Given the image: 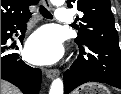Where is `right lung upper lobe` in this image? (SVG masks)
Listing matches in <instances>:
<instances>
[{"instance_id": "obj_1", "label": "right lung upper lobe", "mask_w": 121, "mask_h": 94, "mask_svg": "<svg viewBox=\"0 0 121 94\" xmlns=\"http://www.w3.org/2000/svg\"><path fill=\"white\" fill-rule=\"evenodd\" d=\"M38 2L39 0H1V24L29 15V6Z\"/></svg>"}]
</instances>
